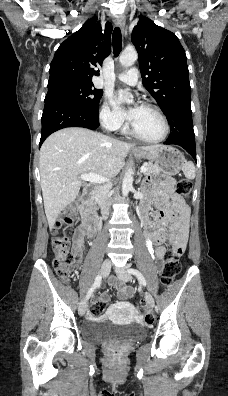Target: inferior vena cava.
<instances>
[{
  "mask_svg": "<svg viewBox=\"0 0 228 396\" xmlns=\"http://www.w3.org/2000/svg\"><path fill=\"white\" fill-rule=\"evenodd\" d=\"M110 188V184H104L98 186L95 190V199L101 206L102 215L104 218H106L109 214V207L111 205V202L109 200Z\"/></svg>",
  "mask_w": 228,
  "mask_h": 396,
  "instance_id": "1",
  "label": "inferior vena cava"
}]
</instances>
